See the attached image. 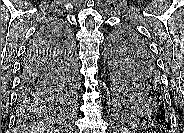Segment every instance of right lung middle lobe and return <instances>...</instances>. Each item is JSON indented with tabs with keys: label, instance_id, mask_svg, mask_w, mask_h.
<instances>
[{
	"label": "right lung middle lobe",
	"instance_id": "dd1d6c3e",
	"mask_svg": "<svg viewBox=\"0 0 184 133\" xmlns=\"http://www.w3.org/2000/svg\"><path fill=\"white\" fill-rule=\"evenodd\" d=\"M58 22L60 28L65 33V36L69 39V45L74 50V42L72 33L67 24ZM71 49V48H70ZM67 68L62 83L58 89V92L53 95L51 99L42 101L38 104H22L18 103V113L20 117H32L37 115H46L54 112L65 111L70 109L74 105V87L76 80V70L74 65V56L72 50L67 51L66 58Z\"/></svg>",
	"mask_w": 184,
	"mask_h": 133
}]
</instances>
